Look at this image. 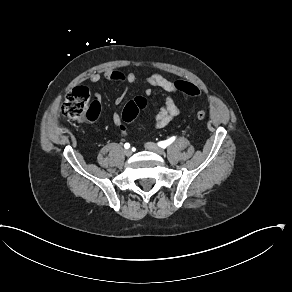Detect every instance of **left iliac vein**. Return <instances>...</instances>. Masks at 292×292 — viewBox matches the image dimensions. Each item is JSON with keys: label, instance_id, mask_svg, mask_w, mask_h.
Instances as JSON below:
<instances>
[{"label": "left iliac vein", "instance_id": "4c4485c4", "mask_svg": "<svg viewBox=\"0 0 292 292\" xmlns=\"http://www.w3.org/2000/svg\"><path fill=\"white\" fill-rule=\"evenodd\" d=\"M145 148L149 151H152V152L158 154V155H161V156L164 155V150L152 142L145 143Z\"/></svg>", "mask_w": 292, "mask_h": 292}]
</instances>
